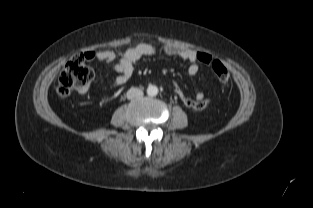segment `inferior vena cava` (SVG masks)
Instances as JSON below:
<instances>
[{"label": "inferior vena cava", "mask_w": 313, "mask_h": 208, "mask_svg": "<svg viewBox=\"0 0 313 208\" xmlns=\"http://www.w3.org/2000/svg\"><path fill=\"white\" fill-rule=\"evenodd\" d=\"M126 96L128 99H139L143 97V91L138 88H131L127 91Z\"/></svg>", "instance_id": "602c4592"}]
</instances>
